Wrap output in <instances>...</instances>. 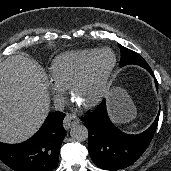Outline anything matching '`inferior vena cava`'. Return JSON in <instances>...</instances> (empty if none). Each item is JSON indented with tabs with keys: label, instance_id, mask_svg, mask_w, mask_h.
<instances>
[{
	"label": "inferior vena cava",
	"instance_id": "1",
	"mask_svg": "<svg viewBox=\"0 0 171 171\" xmlns=\"http://www.w3.org/2000/svg\"><path fill=\"white\" fill-rule=\"evenodd\" d=\"M54 108L56 110H59V111L63 110V108H64V101L61 100V99H55L54 100Z\"/></svg>",
	"mask_w": 171,
	"mask_h": 171
}]
</instances>
